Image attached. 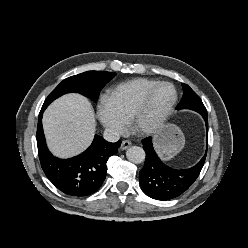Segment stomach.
<instances>
[{
	"instance_id": "stomach-1",
	"label": "stomach",
	"mask_w": 248,
	"mask_h": 248,
	"mask_svg": "<svg viewBox=\"0 0 248 248\" xmlns=\"http://www.w3.org/2000/svg\"><path fill=\"white\" fill-rule=\"evenodd\" d=\"M155 148L163 160H170L185 145L182 131L173 124H167L154 135Z\"/></svg>"
}]
</instances>
